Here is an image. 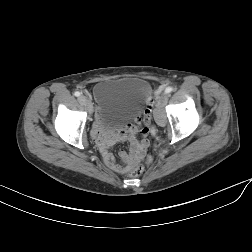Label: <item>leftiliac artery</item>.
I'll use <instances>...</instances> for the list:
<instances>
[{
  "label": "left iliac artery",
  "instance_id": "44dca946",
  "mask_svg": "<svg viewBox=\"0 0 252 252\" xmlns=\"http://www.w3.org/2000/svg\"><path fill=\"white\" fill-rule=\"evenodd\" d=\"M173 91V87H167L166 89H165V93H170V92H172Z\"/></svg>",
  "mask_w": 252,
  "mask_h": 252
}]
</instances>
